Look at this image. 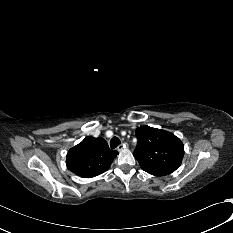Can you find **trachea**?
I'll list each match as a JSON object with an SVG mask.
<instances>
[{
	"label": "trachea",
	"mask_w": 233,
	"mask_h": 233,
	"mask_svg": "<svg viewBox=\"0 0 233 233\" xmlns=\"http://www.w3.org/2000/svg\"><path fill=\"white\" fill-rule=\"evenodd\" d=\"M120 143V140L118 139V137H113L110 141V147L112 149H115Z\"/></svg>",
	"instance_id": "3493384b"
}]
</instances>
